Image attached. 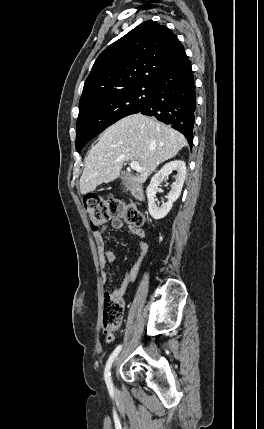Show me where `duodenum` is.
<instances>
[{"instance_id":"obj_1","label":"duodenum","mask_w":264,"mask_h":429,"mask_svg":"<svg viewBox=\"0 0 264 429\" xmlns=\"http://www.w3.org/2000/svg\"><path fill=\"white\" fill-rule=\"evenodd\" d=\"M131 193L134 196V198L138 201L144 200V192L141 187L138 185H133L131 188Z\"/></svg>"}]
</instances>
